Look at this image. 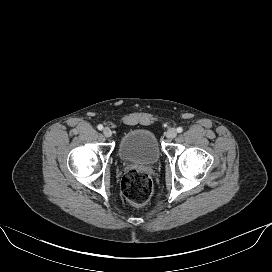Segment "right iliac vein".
<instances>
[{"mask_svg":"<svg viewBox=\"0 0 272 272\" xmlns=\"http://www.w3.org/2000/svg\"><path fill=\"white\" fill-rule=\"evenodd\" d=\"M103 134L105 135V137H111V136H112V131H111L110 128L105 127V128L103 129Z\"/></svg>","mask_w":272,"mask_h":272,"instance_id":"obj_1","label":"right iliac vein"}]
</instances>
